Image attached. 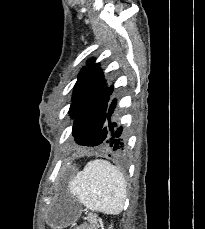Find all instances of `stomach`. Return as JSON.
I'll list each match as a JSON object with an SVG mask.
<instances>
[{"label":"stomach","instance_id":"0dacf381","mask_svg":"<svg viewBox=\"0 0 205 229\" xmlns=\"http://www.w3.org/2000/svg\"><path fill=\"white\" fill-rule=\"evenodd\" d=\"M77 218V213L69 204L56 203L47 215V223L53 229H63L72 224Z\"/></svg>","mask_w":205,"mask_h":229}]
</instances>
